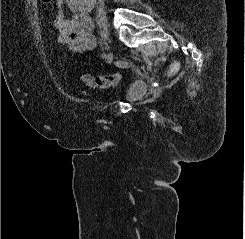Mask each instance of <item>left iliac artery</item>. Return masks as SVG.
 <instances>
[{"instance_id":"1","label":"left iliac artery","mask_w":245,"mask_h":239,"mask_svg":"<svg viewBox=\"0 0 245 239\" xmlns=\"http://www.w3.org/2000/svg\"><path fill=\"white\" fill-rule=\"evenodd\" d=\"M102 58H106V54L104 52L102 53Z\"/></svg>"}]
</instances>
